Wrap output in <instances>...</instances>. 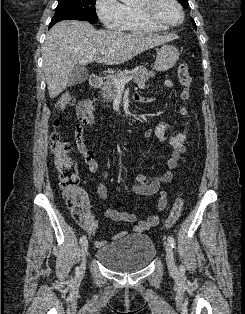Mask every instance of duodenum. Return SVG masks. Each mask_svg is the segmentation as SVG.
Segmentation results:
<instances>
[{"instance_id":"duodenum-1","label":"duodenum","mask_w":245,"mask_h":314,"mask_svg":"<svg viewBox=\"0 0 245 314\" xmlns=\"http://www.w3.org/2000/svg\"><path fill=\"white\" fill-rule=\"evenodd\" d=\"M101 82V77L98 75L93 74L89 78V83L93 88H99L101 86Z\"/></svg>"}]
</instances>
